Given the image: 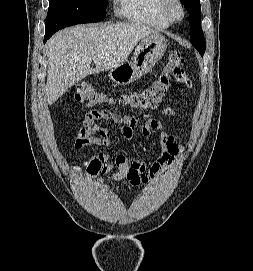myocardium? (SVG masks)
Instances as JSON below:
<instances>
[{
	"label": "myocardium",
	"mask_w": 253,
	"mask_h": 271,
	"mask_svg": "<svg viewBox=\"0 0 253 271\" xmlns=\"http://www.w3.org/2000/svg\"><path fill=\"white\" fill-rule=\"evenodd\" d=\"M162 11L171 23L179 22L185 16V8L181 0H163Z\"/></svg>",
	"instance_id": "obj_1"
}]
</instances>
